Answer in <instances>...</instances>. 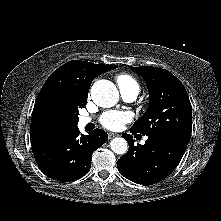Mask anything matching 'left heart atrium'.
Listing matches in <instances>:
<instances>
[{
    "instance_id": "obj_1",
    "label": "left heart atrium",
    "mask_w": 221,
    "mask_h": 221,
    "mask_svg": "<svg viewBox=\"0 0 221 221\" xmlns=\"http://www.w3.org/2000/svg\"><path fill=\"white\" fill-rule=\"evenodd\" d=\"M132 120L130 112L111 110L103 113L100 117V124L108 129L117 131Z\"/></svg>"
}]
</instances>
